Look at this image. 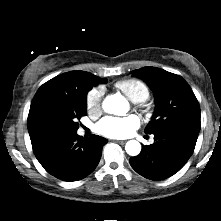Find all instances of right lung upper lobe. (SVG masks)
I'll return each mask as SVG.
<instances>
[{
  "label": "right lung upper lobe",
  "instance_id": "right-lung-upper-lobe-1",
  "mask_svg": "<svg viewBox=\"0 0 221 221\" xmlns=\"http://www.w3.org/2000/svg\"><path fill=\"white\" fill-rule=\"evenodd\" d=\"M101 80V78L85 71H71L54 77L38 89L32 100L28 115V132L34 152L39 150L48 140L59 134L46 125L38 116L37 108L40 92L45 88H54L67 93L73 90V88L80 87L82 82H88L93 87L101 83Z\"/></svg>",
  "mask_w": 221,
  "mask_h": 221
}]
</instances>
